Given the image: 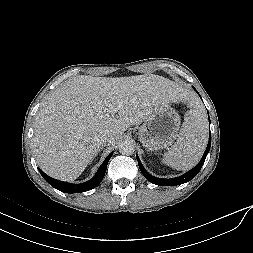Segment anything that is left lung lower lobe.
<instances>
[{"mask_svg":"<svg viewBox=\"0 0 253 253\" xmlns=\"http://www.w3.org/2000/svg\"><path fill=\"white\" fill-rule=\"evenodd\" d=\"M209 122H210V119H209ZM210 146H211V132H210V129H209V142H208L207 148H206V150L203 154V157H202L201 161L198 163V165L196 167H194L193 169H191L190 171H188L187 173H185L184 175L176 177V178H171V179L157 178V177H154V176L150 175L144 169V167L142 166V164H141V162H140L137 155H136V158H137L138 165H139V168H140L142 174L150 182H152L153 184H156V185L175 186V185H180V184H183V183H186V182L190 181L191 179H193L198 174V172L200 171L202 165L204 164V161L206 159L207 154L209 153Z\"/></svg>","mask_w":253,"mask_h":253,"instance_id":"obj_1","label":"left lung lower lobe"}]
</instances>
